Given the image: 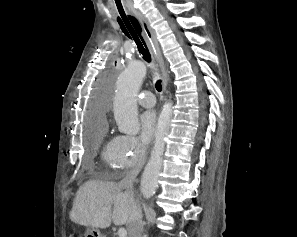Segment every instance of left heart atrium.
<instances>
[{
	"mask_svg": "<svg viewBox=\"0 0 297 237\" xmlns=\"http://www.w3.org/2000/svg\"><path fill=\"white\" fill-rule=\"evenodd\" d=\"M140 136L143 142L149 143L156 131L157 116L153 110L145 111L141 114L140 119Z\"/></svg>",
	"mask_w": 297,
	"mask_h": 237,
	"instance_id": "39dd6f15",
	"label": "left heart atrium"
}]
</instances>
